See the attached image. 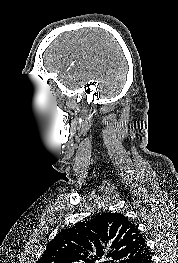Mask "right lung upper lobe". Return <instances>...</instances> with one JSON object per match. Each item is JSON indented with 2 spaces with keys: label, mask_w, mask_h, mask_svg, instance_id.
I'll use <instances>...</instances> for the list:
<instances>
[{
  "label": "right lung upper lobe",
  "mask_w": 178,
  "mask_h": 263,
  "mask_svg": "<svg viewBox=\"0 0 178 263\" xmlns=\"http://www.w3.org/2000/svg\"><path fill=\"white\" fill-rule=\"evenodd\" d=\"M148 254L138 227L123 214L110 212L62 230L38 263H140Z\"/></svg>",
  "instance_id": "cb5924a9"
}]
</instances>
